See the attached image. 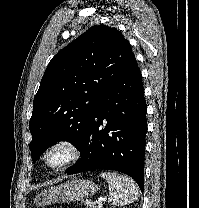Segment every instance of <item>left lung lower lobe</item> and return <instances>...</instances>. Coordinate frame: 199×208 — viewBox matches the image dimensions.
I'll list each match as a JSON object with an SVG mask.
<instances>
[{"mask_svg": "<svg viewBox=\"0 0 199 208\" xmlns=\"http://www.w3.org/2000/svg\"><path fill=\"white\" fill-rule=\"evenodd\" d=\"M147 105L136 59L104 92L94 108L78 150L81 160L68 174L95 169L115 170L132 177L144 188ZM105 124L104 127L101 125Z\"/></svg>", "mask_w": 199, "mask_h": 208, "instance_id": "0a47b994", "label": "left lung lower lobe"}]
</instances>
